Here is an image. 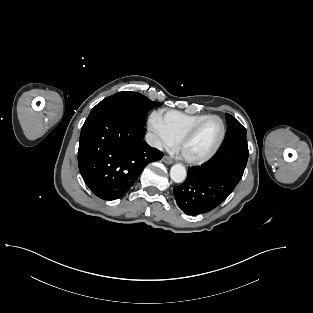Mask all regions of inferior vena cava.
Here are the masks:
<instances>
[{
  "instance_id": "602c4592",
  "label": "inferior vena cava",
  "mask_w": 313,
  "mask_h": 313,
  "mask_svg": "<svg viewBox=\"0 0 313 313\" xmlns=\"http://www.w3.org/2000/svg\"><path fill=\"white\" fill-rule=\"evenodd\" d=\"M146 142L152 147H155V148L160 149V150L162 149V144H161L160 140L155 135H153L152 133L146 134Z\"/></svg>"
}]
</instances>
